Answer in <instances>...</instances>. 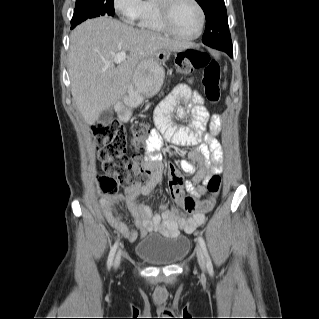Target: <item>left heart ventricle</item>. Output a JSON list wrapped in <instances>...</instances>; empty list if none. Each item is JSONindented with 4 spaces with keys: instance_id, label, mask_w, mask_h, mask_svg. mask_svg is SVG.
Listing matches in <instances>:
<instances>
[{
    "instance_id": "b2bd125f",
    "label": "left heart ventricle",
    "mask_w": 319,
    "mask_h": 319,
    "mask_svg": "<svg viewBox=\"0 0 319 319\" xmlns=\"http://www.w3.org/2000/svg\"><path fill=\"white\" fill-rule=\"evenodd\" d=\"M171 22L179 34L194 35L199 26L198 11L189 0H179L173 9Z\"/></svg>"
}]
</instances>
